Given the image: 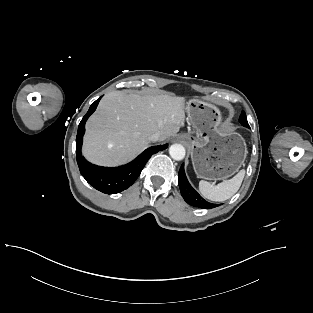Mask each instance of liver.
Returning a JSON list of instances; mask_svg holds the SVG:
<instances>
[{
	"label": "liver",
	"instance_id": "liver-1",
	"mask_svg": "<svg viewBox=\"0 0 313 313\" xmlns=\"http://www.w3.org/2000/svg\"><path fill=\"white\" fill-rule=\"evenodd\" d=\"M184 124L183 97L112 91L86 124L83 154L98 165H119L143 150L153 133L163 141Z\"/></svg>",
	"mask_w": 313,
	"mask_h": 313
}]
</instances>
